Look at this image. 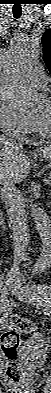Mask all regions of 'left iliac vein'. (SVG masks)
Returning <instances> with one entry per match:
<instances>
[{
    "label": "left iliac vein",
    "mask_w": 51,
    "mask_h": 393,
    "mask_svg": "<svg viewBox=\"0 0 51 393\" xmlns=\"http://www.w3.org/2000/svg\"><path fill=\"white\" fill-rule=\"evenodd\" d=\"M14 293L20 297L25 299L27 302L32 304H36L37 306H47V303L43 301L42 293L38 290L32 289L28 285H23L20 282H17L13 287Z\"/></svg>",
    "instance_id": "1"
}]
</instances>
